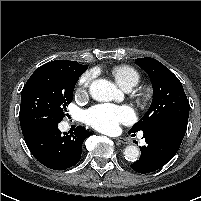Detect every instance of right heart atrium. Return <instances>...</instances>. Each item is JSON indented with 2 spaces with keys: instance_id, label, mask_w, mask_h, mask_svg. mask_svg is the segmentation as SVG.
<instances>
[{
  "instance_id": "1",
  "label": "right heart atrium",
  "mask_w": 201,
  "mask_h": 201,
  "mask_svg": "<svg viewBox=\"0 0 201 201\" xmlns=\"http://www.w3.org/2000/svg\"><path fill=\"white\" fill-rule=\"evenodd\" d=\"M93 77H94V72H92V71H88L80 77L79 82H78V88H77L78 95H81V94L86 95L87 94L88 87H89Z\"/></svg>"
}]
</instances>
